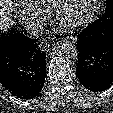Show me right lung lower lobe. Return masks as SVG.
Instances as JSON below:
<instances>
[{
	"mask_svg": "<svg viewBox=\"0 0 113 113\" xmlns=\"http://www.w3.org/2000/svg\"><path fill=\"white\" fill-rule=\"evenodd\" d=\"M45 57L36 39L12 27L0 36V83L20 99L38 96L46 77Z\"/></svg>",
	"mask_w": 113,
	"mask_h": 113,
	"instance_id": "98d812e1",
	"label": "right lung lower lobe"
}]
</instances>
